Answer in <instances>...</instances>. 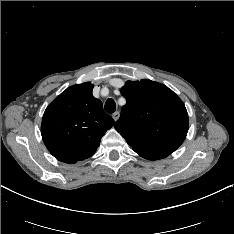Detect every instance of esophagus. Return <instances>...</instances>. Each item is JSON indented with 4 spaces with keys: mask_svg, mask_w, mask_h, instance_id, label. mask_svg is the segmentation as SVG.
Masks as SVG:
<instances>
[{
    "mask_svg": "<svg viewBox=\"0 0 234 234\" xmlns=\"http://www.w3.org/2000/svg\"><path fill=\"white\" fill-rule=\"evenodd\" d=\"M119 115H120V113H119L118 111H116V112H114V113L112 114V118H113V120H114L115 122L118 120Z\"/></svg>",
    "mask_w": 234,
    "mask_h": 234,
    "instance_id": "34e87169",
    "label": "esophagus"
}]
</instances>
